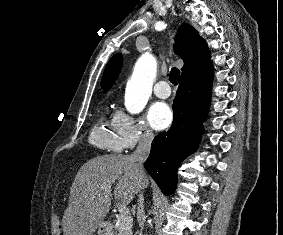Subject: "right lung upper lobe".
<instances>
[{
  "label": "right lung upper lobe",
  "mask_w": 283,
  "mask_h": 235,
  "mask_svg": "<svg viewBox=\"0 0 283 235\" xmlns=\"http://www.w3.org/2000/svg\"><path fill=\"white\" fill-rule=\"evenodd\" d=\"M175 51L184 61L181 80H189L212 71L213 65L210 62V53L206 42L189 24L185 23L179 28L176 35ZM121 65V54H116L110 59L101 81L104 92L110 89L118 77Z\"/></svg>",
  "instance_id": "cb5924a9"
}]
</instances>
